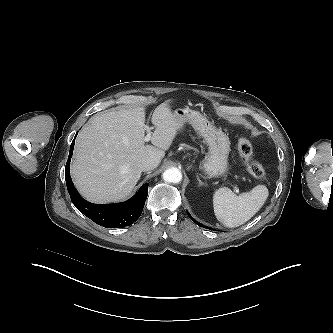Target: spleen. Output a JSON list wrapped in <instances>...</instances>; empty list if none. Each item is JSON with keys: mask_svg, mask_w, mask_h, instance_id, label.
Instances as JSON below:
<instances>
[{"mask_svg": "<svg viewBox=\"0 0 333 333\" xmlns=\"http://www.w3.org/2000/svg\"><path fill=\"white\" fill-rule=\"evenodd\" d=\"M268 195V189L264 185H257L250 192L239 196L227 187L219 188L213 195L215 216L226 227H238L260 210Z\"/></svg>", "mask_w": 333, "mask_h": 333, "instance_id": "obj_1", "label": "spleen"}]
</instances>
